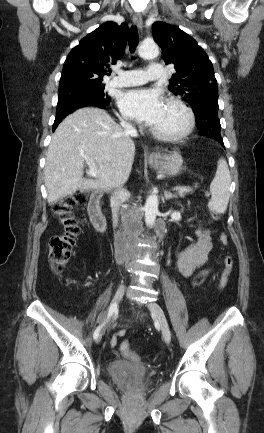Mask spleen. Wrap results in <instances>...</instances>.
<instances>
[{
    "label": "spleen",
    "mask_w": 264,
    "mask_h": 433,
    "mask_svg": "<svg viewBox=\"0 0 264 433\" xmlns=\"http://www.w3.org/2000/svg\"><path fill=\"white\" fill-rule=\"evenodd\" d=\"M230 184L231 177L227 162L221 158L218 161L215 177L210 184L211 200L208 207L211 211L218 214L226 212L230 197Z\"/></svg>",
    "instance_id": "obj_1"
}]
</instances>
